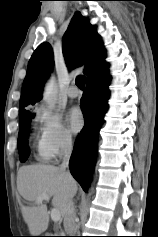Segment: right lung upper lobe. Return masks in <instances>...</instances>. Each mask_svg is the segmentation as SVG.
<instances>
[{
    "mask_svg": "<svg viewBox=\"0 0 158 237\" xmlns=\"http://www.w3.org/2000/svg\"><path fill=\"white\" fill-rule=\"evenodd\" d=\"M63 53L68 67L86 65L84 73L87 80L104 71L109 64L105 62L106 50L96 26L91 25L80 12H76L63 36ZM53 51L49 43L39 45L34 51L27 67L20 98L19 117L32 116L25 108L42 99L46 79L53 68Z\"/></svg>",
    "mask_w": 158,
    "mask_h": 237,
    "instance_id": "right-lung-upper-lobe-1",
    "label": "right lung upper lobe"
}]
</instances>
